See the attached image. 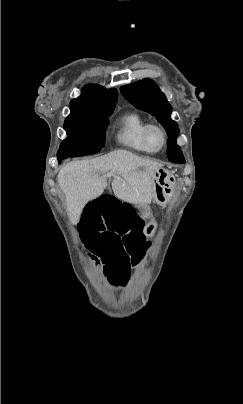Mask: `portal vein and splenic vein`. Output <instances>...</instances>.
Returning <instances> with one entry per match:
<instances>
[{
  "label": "portal vein and splenic vein",
  "mask_w": 243,
  "mask_h": 404,
  "mask_svg": "<svg viewBox=\"0 0 243 404\" xmlns=\"http://www.w3.org/2000/svg\"><path fill=\"white\" fill-rule=\"evenodd\" d=\"M108 176H113L112 172H110V174H108Z\"/></svg>",
  "instance_id": "18ae733b"
}]
</instances>
